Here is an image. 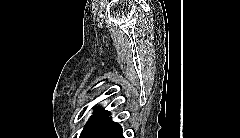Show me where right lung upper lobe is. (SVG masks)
I'll return each instance as SVG.
<instances>
[{
    "instance_id": "1",
    "label": "right lung upper lobe",
    "mask_w": 240,
    "mask_h": 138,
    "mask_svg": "<svg viewBox=\"0 0 240 138\" xmlns=\"http://www.w3.org/2000/svg\"><path fill=\"white\" fill-rule=\"evenodd\" d=\"M94 115H106L109 116L110 113L104 109L97 108L94 112Z\"/></svg>"
}]
</instances>
